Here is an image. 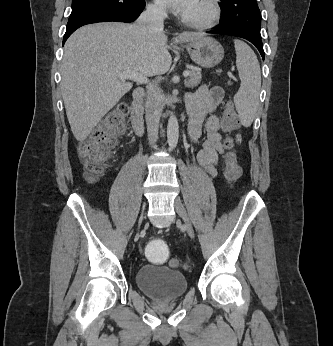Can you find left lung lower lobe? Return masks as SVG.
Wrapping results in <instances>:
<instances>
[{
  "mask_svg": "<svg viewBox=\"0 0 333 346\" xmlns=\"http://www.w3.org/2000/svg\"><path fill=\"white\" fill-rule=\"evenodd\" d=\"M207 33L231 35L244 38L256 46L264 60V50L261 35L255 34L252 31L237 25H221L214 30L208 31Z\"/></svg>",
  "mask_w": 333,
  "mask_h": 346,
  "instance_id": "obj_1",
  "label": "left lung lower lobe"
}]
</instances>
